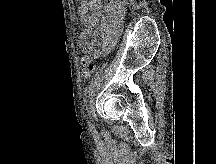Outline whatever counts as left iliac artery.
Wrapping results in <instances>:
<instances>
[{"mask_svg":"<svg viewBox=\"0 0 216 164\" xmlns=\"http://www.w3.org/2000/svg\"><path fill=\"white\" fill-rule=\"evenodd\" d=\"M85 106H86V109H88V105L86 104ZM88 123H89L90 129H91V130H94L93 124H91L90 122H88Z\"/></svg>","mask_w":216,"mask_h":164,"instance_id":"1","label":"left iliac artery"}]
</instances>
